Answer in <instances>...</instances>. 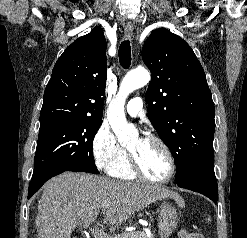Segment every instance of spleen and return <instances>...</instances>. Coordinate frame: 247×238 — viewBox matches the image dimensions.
<instances>
[{"instance_id":"spleen-1","label":"spleen","mask_w":247,"mask_h":238,"mask_svg":"<svg viewBox=\"0 0 247 238\" xmlns=\"http://www.w3.org/2000/svg\"><path fill=\"white\" fill-rule=\"evenodd\" d=\"M207 220H208V221H211V220H210V217H208V219H207Z\"/></svg>"}]
</instances>
